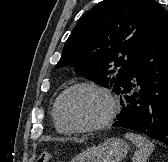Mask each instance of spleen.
I'll list each match as a JSON object with an SVG mask.
<instances>
[{
  "mask_svg": "<svg viewBox=\"0 0 168 162\" xmlns=\"http://www.w3.org/2000/svg\"><path fill=\"white\" fill-rule=\"evenodd\" d=\"M125 138L131 141L138 150L134 153L133 162H146L150 154L154 151V145L147 138L135 134L126 133Z\"/></svg>",
  "mask_w": 168,
  "mask_h": 162,
  "instance_id": "obj_1",
  "label": "spleen"
}]
</instances>
